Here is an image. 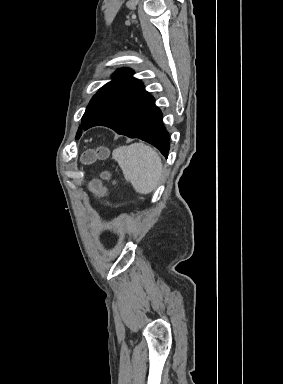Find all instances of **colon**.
Wrapping results in <instances>:
<instances>
[{"label":"colon","instance_id":"obj_1","mask_svg":"<svg viewBox=\"0 0 283 384\" xmlns=\"http://www.w3.org/2000/svg\"><path fill=\"white\" fill-rule=\"evenodd\" d=\"M106 154L104 148L97 149L96 151L90 152L86 155V160L94 159L95 157L103 156ZM89 188L96 194H102L104 189L99 181H93L90 183Z\"/></svg>","mask_w":283,"mask_h":384}]
</instances>
